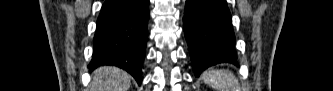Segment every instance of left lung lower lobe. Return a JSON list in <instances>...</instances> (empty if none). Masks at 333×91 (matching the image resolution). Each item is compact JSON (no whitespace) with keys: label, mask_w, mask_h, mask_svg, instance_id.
Returning a JSON list of instances; mask_svg holds the SVG:
<instances>
[{"label":"left lung lower lobe","mask_w":333,"mask_h":91,"mask_svg":"<svg viewBox=\"0 0 333 91\" xmlns=\"http://www.w3.org/2000/svg\"><path fill=\"white\" fill-rule=\"evenodd\" d=\"M183 22L196 76L219 63L237 64L232 18L225 0H187Z\"/></svg>","instance_id":"0a47b994"}]
</instances>
